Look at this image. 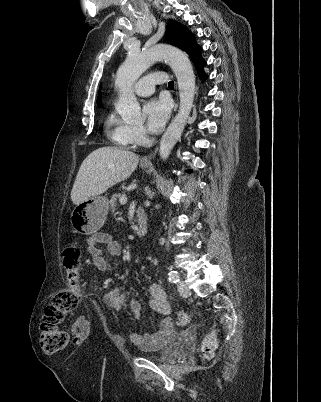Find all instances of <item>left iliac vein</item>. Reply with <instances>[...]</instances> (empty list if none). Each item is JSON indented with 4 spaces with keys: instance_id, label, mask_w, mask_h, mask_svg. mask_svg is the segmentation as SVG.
I'll use <instances>...</instances> for the list:
<instances>
[{
    "instance_id": "obj_1",
    "label": "left iliac vein",
    "mask_w": 321,
    "mask_h": 402,
    "mask_svg": "<svg viewBox=\"0 0 321 402\" xmlns=\"http://www.w3.org/2000/svg\"><path fill=\"white\" fill-rule=\"evenodd\" d=\"M178 287V292L180 293L181 296L187 297L190 295V290L188 288V285L184 281H180L177 285Z\"/></svg>"
}]
</instances>
